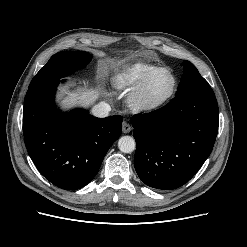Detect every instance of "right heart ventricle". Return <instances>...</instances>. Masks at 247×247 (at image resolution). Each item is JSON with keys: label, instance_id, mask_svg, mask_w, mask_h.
I'll use <instances>...</instances> for the list:
<instances>
[{"label": "right heart ventricle", "instance_id": "e07e8e85", "mask_svg": "<svg viewBox=\"0 0 247 247\" xmlns=\"http://www.w3.org/2000/svg\"><path fill=\"white\" fill-rule=\"evenodd\" d=\"M153 67H155L154 64L146 61H138L125 65L113 74L112 83L118 90L129 91L134 87L140 77Z\"/></svg>", "mask_w": 247, "mask_h": 247}]
</instances>
